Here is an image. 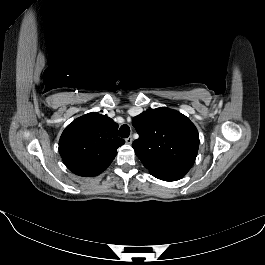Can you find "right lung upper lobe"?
I'll return each mask as SVG.
<instances>
[{"label": "right lung upper lobe", "instance_id": "obj_1", "mask_svg": "<svg viewBox=\"0 0 265 265\" xmlns=\"http://www.w3.org/2000/svg\"><path fill=\"white\" fill-rule=\"evenodd\" d=\"M118 124L107 115L88 113L70 123L59 140V152L67 168L79 176L104 171L125 141L117 136Z\"/></svg>", "mask_w": 265, "mask_h": 265}]
</instances>
